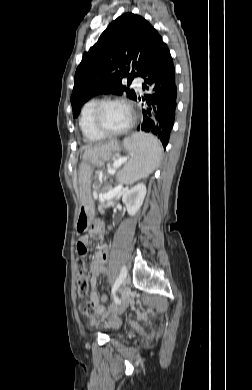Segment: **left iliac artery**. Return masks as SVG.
<instances>
[{"label": "left iliac artery", "instance_id": "44dca946", "mask_svg": "<svg viewBox=\"0 0 252 390\" xmlns=\"http://www.w3.org/2000/svg\"><path fill=\"white\" fill-rule=\"evenodd\" d=\"M127 276V269L125 266H123L121 268V271H120V274L118 276V278L116 279L114 285H113V288H112V297H113V300H117L118 301V304H120V300L119 298L116 296V291L118 290V288L120 287V285L123 283V281L125 280Z\"/></svg>", "mask_w": 252, "mask_h": 390}]
</instances>
